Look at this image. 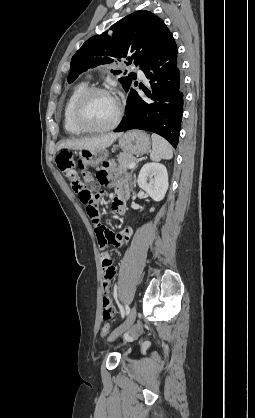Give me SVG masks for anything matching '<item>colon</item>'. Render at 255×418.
<instances>
[{"mask_svg": "<svg viewBox=\"0 0 255 418\" xmlns=\"http://www.w3.org/2000/svg\"><path fill=\"white\" fill-rule=\"evenodd\" d=\"M57 164L65 178L70 182L73 191L78 194L81 202L86 206L87 214L94 224L96 235H99V227L104 226H102L98 217V195L91 190L94 186L92 175L88 172H83L82 177H80L73 155L66 150L61 151L58 155ZM108 332V324H104L101 333L103 336H106Z\"/></svg>", "mask_w": 255, "mask_h": 418, "instance_id": "5ec220e1", "label": "colon"}]
</instances>
